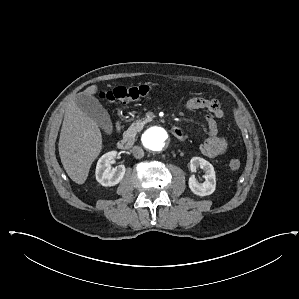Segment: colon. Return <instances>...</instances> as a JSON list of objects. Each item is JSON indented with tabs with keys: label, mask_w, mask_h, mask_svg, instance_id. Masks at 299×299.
I'll return each instance as SVG.
<instances>
[{
	"label": "colon",
	"mask_w": 299,
	"mask_h": 299,
	"mask_svg": "<svg viewBox=\"0 0 299 299\" xmlns=\"http://www.w3.org/2000/svg\"><path fill=\"white\" fill-rule=\"evenodd\" d=\"M152 87L147 84H139L134 86H119L101 92V97L110 103L126 104L140 98L150 95ZM241 166V161L238 158L229 160V167L232 170H238Z\"/></svg>",
	"instance_id": "obj_1"
}]
</instances>
